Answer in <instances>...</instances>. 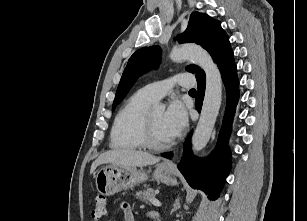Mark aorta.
<instances>
[{
    "instance_id": "aorta-1",
    "label": "aorta",
    "mask_w": 307,
    "mask_h": 221,
    "mask_svg": "<svg viewBox=\"0 0 307 221\" xmlns=\"http://www.w3.org/2000/svg\"><path fill=\"white\" fill-rule=\"evenodd\" d=\"M170 58L174 62L185 60L199 65L206 75V89L199 122L192 137L194 151L202 150L208 143L222 101V79L218 66L203 48L195 45H183L171 50ZM164 109V106H160Z\"/></svg>"
}]
</instances>
